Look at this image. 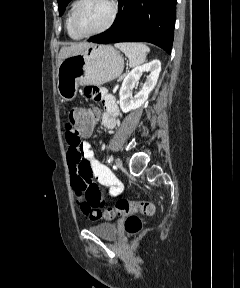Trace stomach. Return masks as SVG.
Listing matches in <instances>:
<instances>
[{
  "instance_id": "1",
  "label": "stomach",
  "mask_w": 240,
  "mask_h": 288,
  "mask_svg": "<svg viewBox=\"0 0 240 288\" xmlns=\"http://www.w3.org/2000/svg\"><path fill=\"white\" fill-rule=\"evenodd\" d=\"M124 68L120 52L111 45L91 44L61 61L57 90L63 101H72L79 85H102L119 77Z\"/></svg>"
}]
</instances>
